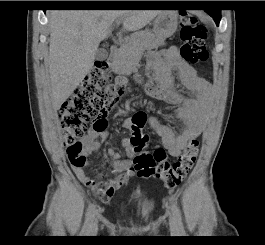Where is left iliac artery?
<instances>
[{"label": "left iliac artery", "instance_id": "obj_1", "mask_svg": "<svg viewBox=\"0 0 265 245\" xmlns=\"http://www.w3.org/2000/svg\"><path fill=\"white\" fill-rule=\"evenodd\" d=\"M171 210L173 212V216H174V219H175V222H176V226H177L178 232L184 233L185 230H184V226H183V223H182L181 212L179 210V207H178L177 203L174 202L173 200H171Z\"/></svg>", "mask_w": 265, "mask_h": 245}]
</instances>
